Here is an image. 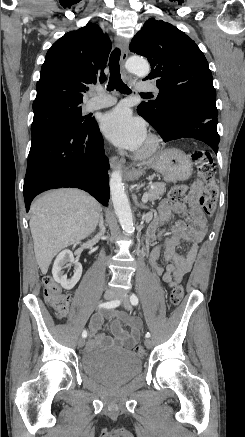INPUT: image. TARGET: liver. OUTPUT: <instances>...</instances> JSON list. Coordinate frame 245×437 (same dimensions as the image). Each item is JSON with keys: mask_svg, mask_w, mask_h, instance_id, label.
<instances>
[{"mask_svg": "<svg viewBox=\"0 0 245 437\" xmlns=\"http://www.w3.org/2000/svg\"><path fill=\"white\" fill-rule=\"evenodd\" d=\"M101 211L97 200L77 189L54 190L35 200L29 225L36 261L43 274L60 250L95 230Z\"/></svg>", "mask_w": 245, "mask_h": 437, "instance_id": "liver-1", "label": "liver"}]
</instances>
